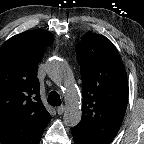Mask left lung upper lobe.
I'll return each instance as SVG.
<instances>
[{
  "label": "left lung upper lobe",
  "mask_w": 144,
  "mask_h": 144,
  "mask_svg": "<svg viewBox=\"0 0 144 144\" xmlns=\"http://www.w3.org/2000/svg\"><path fill=\"white\" fill-rule=\"evenodd\" d=\"M83 105L82 119L72 130L87 139L111 143L120 129L128 101L123 61L109 39L84 34L78 50Z\"/></svg>",
  "instance_id": "left-lung-upper-lobe-1"
}]
</instances>
